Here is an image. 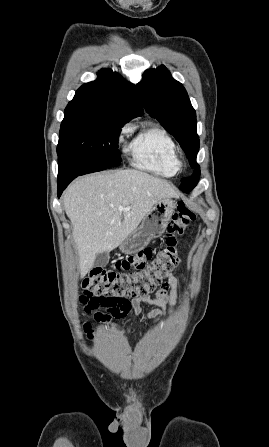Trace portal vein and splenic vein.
I'll use <instances>...</instances> for the list:
<instances>
[{
    "label": "portal vein and splenic vein",
    "instance_id": "1",
    "mask_svg": "<svg viewBox=\"0 0 269 447\" xmlns=\"http://www.w3.org/2000/svg\"><path fill=\"white\" fill-rule=\"evenodd\" d=\"M125 210H129V208H123V206H119V212H125Z\"/></svg>",
    "mask_w": 269,
    "mask_h": 447
}]
</instances>
